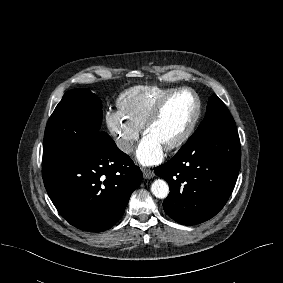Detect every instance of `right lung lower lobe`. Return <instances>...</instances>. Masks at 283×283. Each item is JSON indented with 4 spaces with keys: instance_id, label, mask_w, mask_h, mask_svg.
Here are the masks:
<instances>
[{
    "instance_id": "obj_1",
    "label": "right lung lower lobe",
    "mask_w": 283,
    "mask_h": 283,
    "mask_svg": "<svg viewBox=\"0 0 283 283\" xmlns=\"http://www.w3.org/2000/svg\"><path fill=\"white\" fill-rule=\"evenodd\" d=\"M42 176L61 216L76 228L90 232L111 228L142 180L140 168L110 136L43 166Z\"/></svg>"
}]
</instances>
